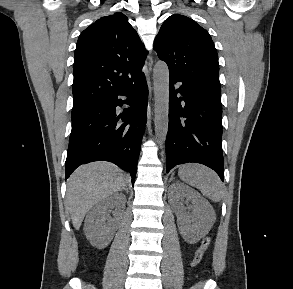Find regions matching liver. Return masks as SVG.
Masks as SVG:
<instances>
[{
    "instance_id": "1",
    "label": "liver",
    "mask_w": 293,
    "mask_h": 289,
    "mask_svg": "<svg viewBox=\"0 0 293 289\" xmlns=\"http://www.w3.org/2000/svg\"><path fill=\"white\" fill-rule=\"evenodd\" d=\"M126 185L121 170L108 162L80 166L67 183L65 206L74 228L79 230L86 213L98 202L123 190Z\"/></svg>"
}]
</instances>
